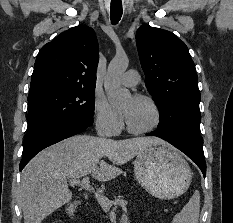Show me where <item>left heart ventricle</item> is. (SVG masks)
<instances>
[{"label":"left heart ventricle","mask_w":233,"mask_h":223,"mask_svg":"<svg viewBox=\"0 0 233 223\" xmlns=\"http://www.w3.org/2000/svg\"><path fill=\"white\" fill-rule=\"evenodd\" d=\"M131 107V116L126 121L133 129L146 130L155 123V113L151 105L142 99L130 98L126 100L120 110L123 112Z\"/></svg>","instance_id":"1"}]
</instances>
